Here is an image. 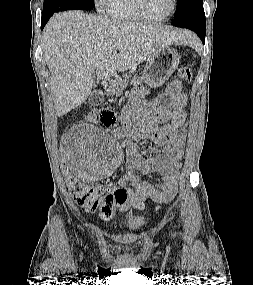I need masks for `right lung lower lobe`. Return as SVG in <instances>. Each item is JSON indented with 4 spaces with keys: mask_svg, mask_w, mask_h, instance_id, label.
I'll return each instance as SVG.
<instances>
[{
    "mask_svg": "<svg viewBox=\"0 0 253 285\" xmlns=\"http://www.w3.org/2000/svg\"><path fill=\"white\" fill-rule=\"evenodd\" d=\"M55 12H49V13H42V18H41V29L44 28L46 23L48 22L49 18L54 14Z\"/></svg>",
    "mask_w": 253,
    "mask_h": 285,
    "instance_id": "right-lung-lower-lobe-1",
    "label": "right lung lower lobe"
}]
</instances>
